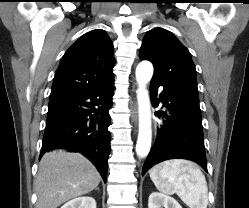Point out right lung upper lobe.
<instances>
[{
    "instance_id": "cb5924a9",
    "label": "right lung upper lobe",
    "mask_w": 249,
    "mask_h": 208,
    "mask_svg": "<svg viewBox=\"0 0 249 208\" xmlns=\"http://www.w3.org/2000/svg\"><path fill=\"white\" fill-rule=\"evenodd\" d=\"M113 44L105 31L92 30L64 54L56 70L50 99L97 88L114 79Z\"/></svg>"
}]
</instances>
